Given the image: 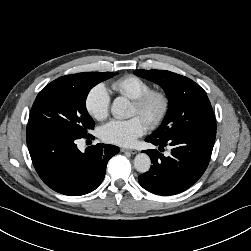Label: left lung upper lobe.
<instances>
[{
  "mask_svg": "<svg viewBox=\"0 0 251 251\" xmlns=\"http://www.w3.org/2000/svg\"><path fill=\"white\" fill-rule=\"evenodd\" d=\"M134 73L160 85L169 100L167 115L151 138L167 140L185 132L216 131L207 94L194 81L166 70H135Z\"/></svg>",
  "mask_w": 251,
  "mask_h": 251,
  "instance_id": "1",
  "label": "left lung upper lobe"
}]
</instances>
